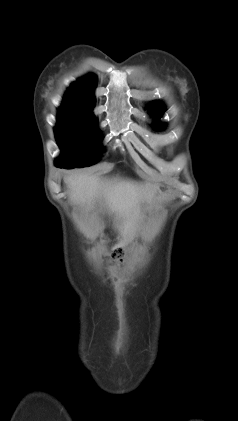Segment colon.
Wrapping results in <instances>:
<instances>
[{"label":"colon","mask_w":238,"mask_h":421,"mask_svg":"<svg viewBox=\"0 0 238 421\" xmlns=\"http://www.w3.org/2000/svg\"><path fill=\"white\" fill-rule=\"evenodd\" d=\"M123 256H124V251L123 250L120 249V250H117L115 252L116 259L121 260L123 258Z\"/></svg>","instance_id":"5ec220e1"}]
</instances>
